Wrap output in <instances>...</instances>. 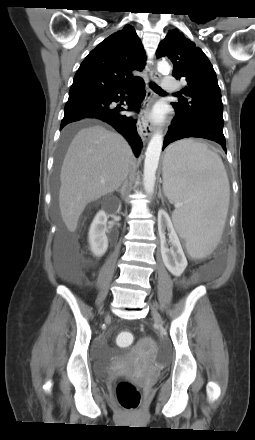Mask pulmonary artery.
I'll use <instances>...</instances> for the list:
<instances>
[{
    "label": "pulmonary artery",
    "instance_id": "pulmonary-artery-1",
    "mask_svg": "<svg viewBox=\"0 0 255 440\" xmlns=\"http://www.w3.org/2000/svg\"><path fill=\"white\" fill-rule=\"evenodd\" d=\"M162 86L166 92H173L178 87L175 78L171 75L164 77L163 82H162Z\"/></svg>",
    "mask_w": 255,
    "mask_h": 440
}]
</instances>
